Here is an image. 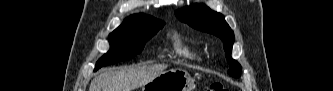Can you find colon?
Returning a JSON list of instances; mask_svg holds the SVG:
<instances>
[{
    "mask_svg": "<svg viewBox=\"0 0 333 91\" xmlns=\"http://www.w3.org/2000/svg\"><path fill=\"white\" fill-rule=\"evenodd\" d=\"M206 91H225V88L221 82H214L206 88Z\"/></svg>",
    "mask_w": 333,
    "mask_h": 91,
    "instance_id": "colon-1",
    "label": "colon"
}]
</instances>
